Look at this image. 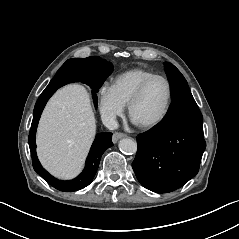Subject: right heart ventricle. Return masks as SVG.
<instances>
[{"label":"right heart ventricle","instance_id":"1","mask_svg":"<svg viewBox=\"0 0 239 239\" xmlns=\"http://www.w3.org/2000/svg\"><path fill=\"white\" fill-rule=\"evenodd\" d=\"M154 75L156 74L153 71L143 67L128 69L117 74L110 87L119 102L126 107L138 87Z\"/></svg>","mask_w":239,"mask_h":239}]
</instances>
